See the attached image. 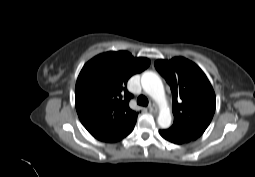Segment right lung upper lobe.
<instances>
[{"label": "right lung upper lobe", "instance_id": "1", "mask_svg": "<svg viewBox=\"0 0 255 177\" xmlns=\"http://www.w3.org/2000/svg\"><path fill=\"white\" fill-rule=\"evenodd\" d=\"M150 65L147 58H134L127 51L106 52L88 61L82 68L75 88V105L87 131L103 140L137 118L130 109L133 97L127 81Z\"/></svg>", "mask_w": 255, "mask_h": 177}]
</instances>
